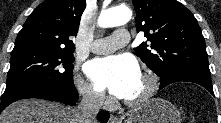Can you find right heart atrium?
Masks as SVG:
<instances>
[{"label":"right heart atrium","instance_id":"right-heart-atrium-1","mask_svg":"<svg viewBox=\"0 0 221 123\" xmlns=\"http://www.w3.org/2000/svg\"><path fill=\"white\" fill-rule=\"evenodd\" d=\"M75 85L87 103L98 106L107 104L108 99L105 94L96 89L91 83L85 81L81 76H76Z\"/></svg>","mask_w":221,"mask_h":123}]
</instances>
